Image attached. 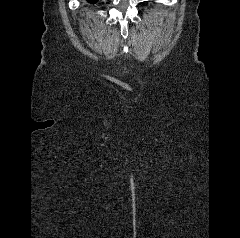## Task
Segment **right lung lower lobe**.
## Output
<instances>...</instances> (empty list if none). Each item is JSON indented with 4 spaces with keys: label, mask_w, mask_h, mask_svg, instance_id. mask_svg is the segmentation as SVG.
<instances>
[{
    "label": "right lung lower lobe",
    "mask_w": 240,
    "mask_h": 238,
    "mask_svg": "<svg viewBox=\"0 0 240 238\" xmlns=\"http://www.w3.org/2000/svg\"><path fill=\"white\" fill-rule=\"evenodd\" d=\"M88 2H90V3H94V2H96L97 0H87Z\"/></svg>",
    "instance_id": "98d812e1"
}]
</instances>
